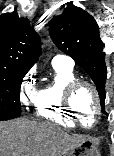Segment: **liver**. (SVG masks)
<instances>
[{
  "label": "liver",
  "instance_id": "1",
  "mask_svg": "<svg viewBox=\"0 0 114 156\" xmlns=\"http://www.w3.org/2000/svg\"><path fill=\"white\" fill-rule=\"evenodd\" d=\"M84 139L50 122L26 118L0 122V156H64Z\"/></svg>",
  "mask_w": 114,
  "mask_h": 156
}]
</instances>
